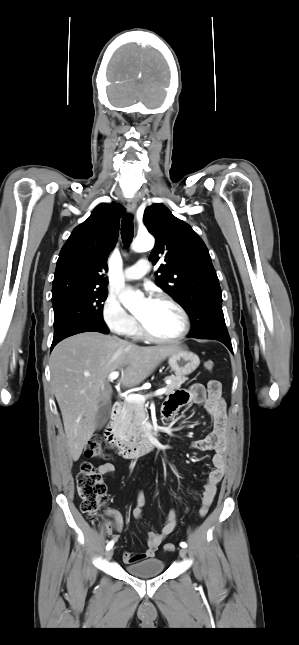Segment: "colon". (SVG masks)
Listing matches in <instances>:
<instances>
[{
    "label": "colon",
    "mask_w": 299,
    "mask_h": 645,
    "mask_svg": "<svg viewBox=\"0 0 299 645\" xmlns=\"http://www.w3.org/2000/svg\"><path fill=\"white\" fill-rule=\"evenodd\" d=\"M204 366L207 370L212 371L214 363L212 360H206ZM212 389L218 388L220 383L218 381L209 382ZM84 456L87 459L98 458L102 456V446L99 438H91L84 449ZM77 491L82 500L81 511L91 521L98 518L99 511L102 505L107 501V489L101 475L95 470L94 466L89 462L81 464L79 472L76 477ZM208 513V507L202 506L199 510V515L204 518ZM111 526L109 525V529ZM165 551H175V545L168 543L164 546Z\"/></svg>",
    "instance_id": "1"
}]
</instances>
